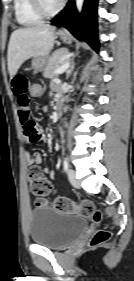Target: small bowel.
Masks as SVG:
<instances>
[{
  "label": "small bowel",
  "instance_id": "obj_1",
  "mask_svg": "<svg viewBox=\"0 0 134 281\" xmlns=\"http://www.w3.org/2000/svg\"><path fill=\"white\" fill-rule=\"evenodd\" d=\"M52 86L54 89H56L57 83L54 82ZM29 87L30 80L26 75L18 73L12 77L11 88L19 106L18 117L22 125L24 136L31 143L44 142L45 136L40 127L30 119L31 96L29 93ZM25 158L28 166L30 167L42 162V159L38 153H27ZM44 173L50 178L55 177V172L52 169L45 168Z\"/></svg>",
  "mask_w": 134,
  "mask_h": 281
}]
</instances>
